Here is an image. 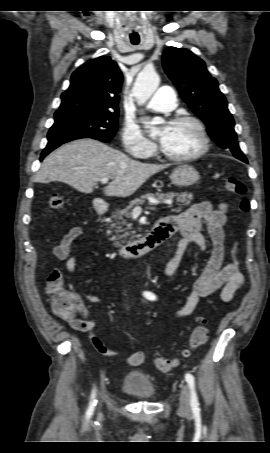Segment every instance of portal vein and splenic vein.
Instances as JSON below:
<instances>
[{"instance_id":"18ae733b","label":"portal vein and splenic vein","mask_w":270,"mask_h":453,"mask_svg":"<svg viewBox=\"0 0 270 453\" xmlns=\"http://www.w3.org/2000/svg\"><path fill=\"white\" fill-rule=\"evenodd\" d=\"M108 180H109V178L104 177V178H101V179H100V182H101L102 184H106V183L108 182ZM156 203H159V202L156 201ZM164 203L170 205V204H172V201H171V200H167V201H164ZM150 209H154V208H150ZM141 212H142V208H141L140 206L135 207V208L133 209V211H132V213H133L134 215H140Z\"/></svg>"}]
</instances>
